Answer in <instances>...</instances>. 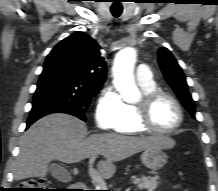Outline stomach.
I'll list each match as a JSON object with an SVG mask.
<instances>
[{"label": "stomach", "instance_id": "obj_1", "mask_svg": "<svg viewBox=\"0 0 218 191\" xmlns=\"http://www.w3.org/2000/svg\"><path fill=\"white\" fill-rule=\"evenodd\" d=\"M167 155L161 148H148L143 151L141 161L152 171L161 169L167 162Z\"/></svg>", "mask_w": 218, "mask_h": 191}]
</instances>
